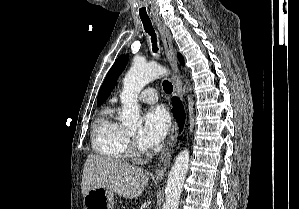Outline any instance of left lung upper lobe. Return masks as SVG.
<instances>
[{
    "mask_svg": "<svg viewBox=\"0 0 299 209\" xmlns=\"http://www.w3.org/2000/svg\"><path fill=\"white\" fill-rule=\"evenodd\" d=\"M127 57L128 55L120 56L113 64L111 69L109 70L98 93V100H97L98 106H100L107 99V97L110 95L111 91L113 90L114 86L116 85V80L119 74L125 68ZM178 58L180 63L184 64V60L180 54L178 55Z\"/></svg>",
    "mask_w": 299,
    "mask_h": 209,
    "instance_id": "1",
    "label": "left lung upper lobe"
}]
</instances>
